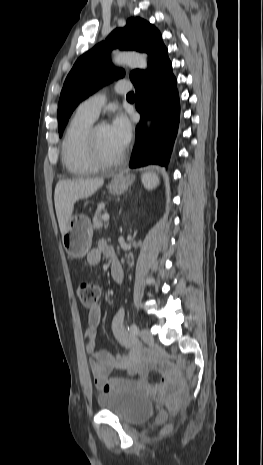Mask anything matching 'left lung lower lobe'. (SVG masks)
<instances>
[{"mask_svg": "<svg viewBox=\"0 0 263 465\" xmlns=\"http://www.w3.org/2000/svg\"><path fill=\"white\" fill-rule=\"evenodd\" d=\"M148 65V71H141L131 80L136 90L135 106L141 114L136 128V147L130 161L132 168L148 164L167 165L179 125L177 82L164 45L153 53ZM148 115L153 118V127L146 138L145 119Z\"/></svg>", "mask_w": 263, "mask_h": 465, "instance_id": "1", "label": "left lung lower lobe"}]
</instances>
